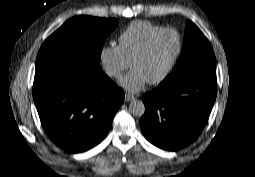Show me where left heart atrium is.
Masks as SVG:
<instances>
[{
	"label": "left heart atrium",
	"mask_w": 255,
	"mask_h": 177,
	"mask_svg": "<svg viewBox=\"0 0 255 177\" xmlns=\"http://www.w3.org/2000/svg\"><path fill=\"white\" fill-rule=\"evenodd\" d=\"M146 77L137 70H132L126 74L121 80L120 85L131 93L138 92L146 84Z\"/></svg>",
	"instance_id": "1"
}]
</instances>
